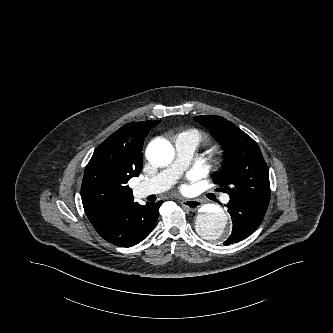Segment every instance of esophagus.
I'll list each match as a JSON object with an SVG mask.
<instances>
[{"label":"esophagus","instance_id":"obj_1","mask_svg":"<svg viewBox=\"0 0 333 333\" xmlns=\"http://www.w3.org/2000/svg\"><path fill=\"white\" fill-rule=\"evenodd\" d=\"M181 204L192 212L197 211L202 205L201 201L199 200H187V199L181 200Z\"/></svg>","mask_w":333,"mask_h":333}]
</instances>
